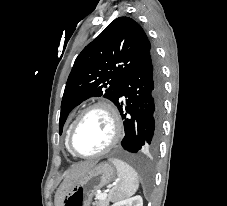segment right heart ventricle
<instances>
[{
	"label": "right heart ventricle",
	"instance_id": "obj_1",
	"mask_svg": "<svg viewBox=\"0 0 227 206\" xmlns=\"http://www.w3.org/2000/svg\"><path fill=\"white\" fill-rule=\"evenodd\" d=\"M73 122H74V121H73ZM73 122L69 125V127H68V129H67V136H68L69 130H70V128H71ZM67 136H66V144H67Z\"/></svg>",
	"mask_w": 227,
	"mask_h": 206
}]
</instances>
